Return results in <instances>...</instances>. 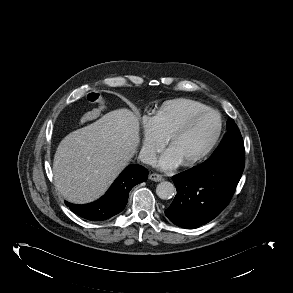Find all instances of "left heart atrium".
I'll list each match as a JSON object with an SVG mask.
<instances>
[{"label": "left heart atrium", "mask_w": 293, "mask_h": 293, "mask_svg": "<svg viewBox=\"0 0 293 293\" xmlns=\"http://www.w3.org/2000/svg\"><path fill=\"white\" fill-rule=\"evenodd\" d=\"M181 163L180 159L170 148L167 149L156 161V165L163 170L173 169Z\"/></svg>", "instance_id": "39dd6f15"}]
</instances>
